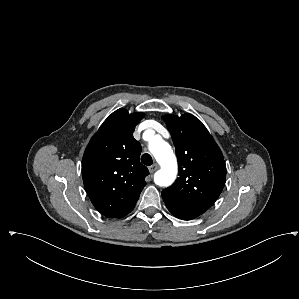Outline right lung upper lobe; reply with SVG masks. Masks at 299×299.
I'll return each mask as SVG.
<instances>
[{"mask_svg":"<svg viewBox=\"0 0 299 299\" xmlns=\"http://www.w3.org/2000/svg\"><path fill=\"white\" fill-rule=\"evenodd\" d=\"M143 113L113 112L90 140L82 160L86 192L108 218H121L137 202L148 169L139 161L141 145L133 137Z\"/></svg>","mask_w":299,"mask_h":299,"instance_id":"cb5924a9","label":"right lung upper lobe"}]
</instances>
